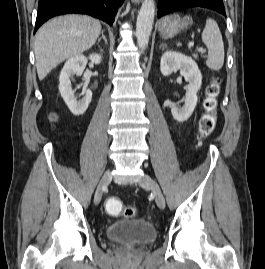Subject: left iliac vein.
<instances>
[{
    "label": "left iliac vein",
    "mask_w": 265,
    "mask_h": 269,
    "mask_svg": "<svg viewBox=\"0 0 265 269\" xmlns=\"http://www.w3.org/2000/svg\"><path fill=\"white\" fill-rule=\"evenodd\" d=\"M139 185L142 188L150 189L155 196V201H156L157 206L160 209L165 208V198L161 192L159 185L154 179H152L148 174H144L141 180L139 181Z\"/></svg>",
    "instance_id": "left-iliac-vein-1"
}]
</instances>
